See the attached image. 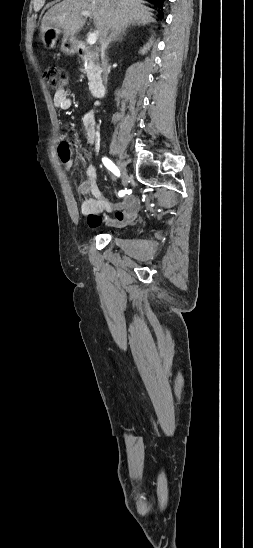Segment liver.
I'll use <instances>...</instances> for the list:
<instances>
[{"mask_svg": "<svg viewBox=\"0 0 253 548\" xmlns=\"http://www.w3.org/2000/svg\"><path fill=\"white\" fill-rule=\"evenodd\" d=\"M81 11L92 15L99 38L107 27L114 32L154 22L151 9L141 0H63L45 13L40 30L56 28L74 37L86 23Z\"/></svg>", "mask_w": 253, "mask_h": 548, "instance_id": "1", "label": "liver"}]
</instances>
